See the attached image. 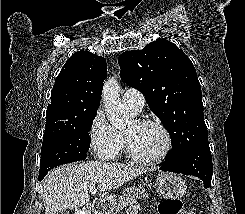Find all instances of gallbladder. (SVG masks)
Masks as SVG:
<instances>
[{
  "label": "gallbladder",
  "instance_id": "obj_1",
  "mask_svg": "<svg viewBox=\"0 0 245 214\" xmlns=\"http://www.w3.org/2000/svg\"><path fill=\"white\" fill-rule=\"evenodd\" d=\"M58 214H69V211L68 210L60 211L58 212Z\"/></svg>",
  "mask_w": 245,
  "mask_h": 214
}]
</instances>
